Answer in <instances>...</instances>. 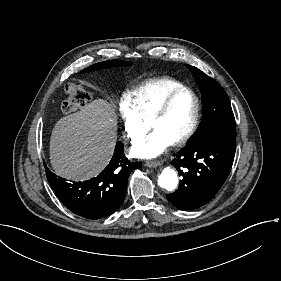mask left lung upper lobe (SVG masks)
<instances>
[{
    "instance_id": "5c2ea615",
    "label": "left lung upper lobe",
    "mask_w": 281,
    "mask_h": 281,
    "mask_svg": "<svg viewBox=\"0 0 281 281\" xmlns=\"http://www.w3.org/2000/svg\"><path fill=\"white\" fill-rule=\"evenodd\" d=\"M186 67L190 69L200 87L203 105L202 121L191 140L212 135L235 141L236 124L228 95L215 80L201 70L190 65Z\"/></svg>"
}]
</instances>
